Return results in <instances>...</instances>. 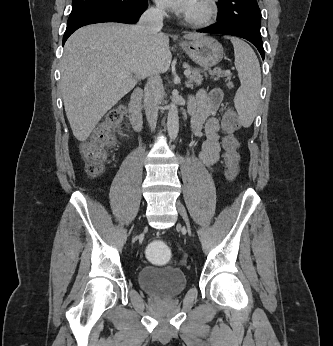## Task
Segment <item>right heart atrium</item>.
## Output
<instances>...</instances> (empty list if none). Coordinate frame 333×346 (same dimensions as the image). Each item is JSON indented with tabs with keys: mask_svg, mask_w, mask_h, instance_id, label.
<instances>
[{
	"mask_svg": "<svg viewBox=\"0 0 333 346\" xmlns=\"http://www.w3.org/2000/svg\"><path fill=\"white\" fill-rule=\"evenodd\" d=\"M152 10L156 14H160L162 12V9L159 6H154Z\"/></svg>",
	"mask_w": 333,
	"mask_h": 346,
	"instance_id": "d8ad5b80",
	"label": "right heart atrium"
}]
</instances>
